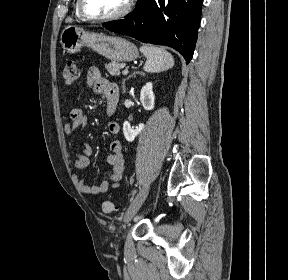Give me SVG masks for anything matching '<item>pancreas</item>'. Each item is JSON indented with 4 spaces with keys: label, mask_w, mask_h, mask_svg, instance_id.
<instances>
[{
    "label": "pancreas",
    "mask_w": 288,
    "mask_h": 280,
    "mask_svg": "<svg viewBox=\"0 0 288 280\" xmlns=\"http://www.w3.org/2000/svg\"><path fill=\"white\" fill-rule=\"evenodd\" d=\"M125 67L124 63L111 62L105 65L106 70L112 76H119L120 70Z\"/></svg>",
    "instance_id": "cf45deb5"
}]
</instances>
